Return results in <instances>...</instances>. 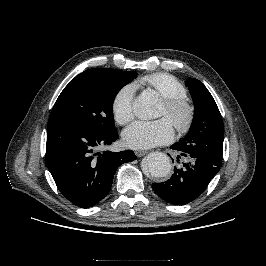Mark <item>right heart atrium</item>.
Returning a JSON list of instances; mask_svg holds the SVG:
<instances>
[{
  "label": "right heart atrium",
  "mask_w": 266,
  "mask_h": 266,
  "mask_svg": "<svg viewBox=\"0 0 266 266\" xmlns=\"http://www.w3.org/2000/svg\"><path fill=\"white\" fill-rule=\"evenodd\" d=\"M134 87L121 88L112 101V112L119 124H126L133 118Z\"/></svg>",
  "instance_id": "obj_1"
}]
</instances>
